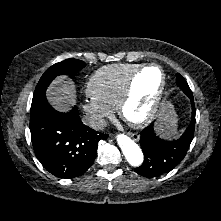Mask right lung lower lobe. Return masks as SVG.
Instances as JSON below:
<instances>
[{"mask_svg": "<svg viewBox=\"0 0 221 221\" xmlns=\"http://www.w3.org/2000/svg\"><path fill=\"white\" fill-rule=\"evenodd\" d=\"M30 132L35 155L44 168L59 178H75L93 164L98 142L107 134L84 125L76 107L68 113L52 108L46 95L32 103Z\"/></svg>", "mask_w": 221, "mask_h": 221, "instance_id": "right-lung-lower-lobe-1", "label": "right lung lower lobe"}]
</instances>
